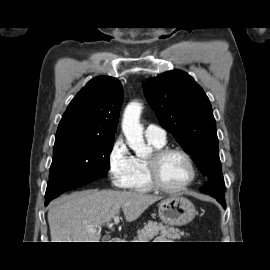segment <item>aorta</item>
<instances>
[{
  "mask_svg": "<svg viewBox=\"0 0 270 270\" xmlns=\"http://www.w3.org/2000/svg\"><path fill=\"white\" fill-rule=\"evenodd\" d=\"M142 105L133 101L127 105L122 119V130L128 146L135 152L137 157L145 158L150 153V148L143 138V127L140 124Z\"/></svg>",
  "mask_w": 270,
  "mask_h": 270,
  "instance_id": "aorta-1",
  "label": "aorta"
}]
</instances>
